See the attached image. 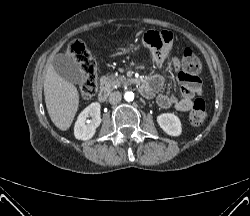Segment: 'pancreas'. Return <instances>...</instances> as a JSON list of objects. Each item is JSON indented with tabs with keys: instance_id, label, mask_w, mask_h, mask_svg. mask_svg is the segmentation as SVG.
Wrapping results in <instances>:
<instances>
[{
	"instance_id": "cf45deb5",
	"label": "pancreas",
	"mask_w": 250,
	"mask_h": 216,
	"mask_svg": "<svg viewBox=\"0 0 250 216\" xmlns=\"http://www.w3.org/2000/svg\"><path fill=\"white\" fill-rule=\"evenodd\" d=\"M101 84L104 85L106 89L112 90L120 86L129 85L130 80L122 75L120 76L110 75V76H103L101 78Z\"/></svg>"
}]
</instances>
